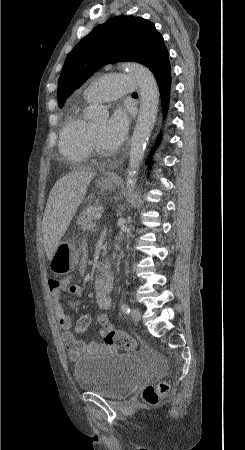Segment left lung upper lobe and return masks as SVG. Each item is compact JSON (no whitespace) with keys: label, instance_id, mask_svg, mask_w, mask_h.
<instances>
[{"label":"left lung upper lobe","instance_id":"obj_1","mask_svg":"<svg viewBox=\"0 0 245 450\" xmlns=\"http://www.w3.org/2000/svg\"><path fill=\"white\" fill-rule=\"evenodd\" d=\"M163 37L141 17L119 16L96 26L68 54L58 82V104L107 63L135 61L152 72L168 59Z\"/></svg>","mask_w":245,"mask_h":450}]
</instances>
